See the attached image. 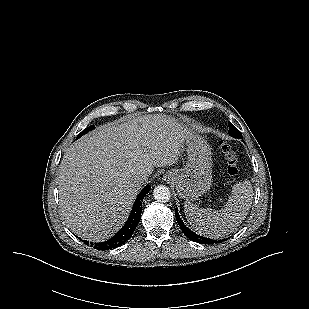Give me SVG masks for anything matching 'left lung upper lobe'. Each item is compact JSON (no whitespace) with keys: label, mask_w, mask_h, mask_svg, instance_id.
I'll return each instance as SVG.
<instances>
[{"label":"left lung upper lobe","mask_w":309,"mask_h":309,"mask_svg":"<svg viewBox=\"0 0 309 309\" xmlns=\"http://www.w3.org/2000/svg\"><path fill=\"white\" fill-rule=\"evenodd\" d=\"M229 135L235 138H242V134L241 132L231 123L229 122V131H228Z\"/></svg>","instance_id":"left-lung-upper-lobe-1"}]
</instances>
